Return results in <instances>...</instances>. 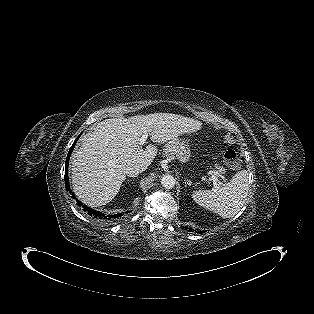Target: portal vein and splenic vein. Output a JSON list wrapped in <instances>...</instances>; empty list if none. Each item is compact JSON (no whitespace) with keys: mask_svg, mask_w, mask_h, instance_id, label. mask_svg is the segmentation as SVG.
I'll return each mask as SVG.
<instances>
[{"mask_svg":"<svg viewBox=\"0 0 314 314\" xmlns=\"http://www.w3.org/2000/svg\"><path fill=\"white\" fill-rule=\"evenodd\" d=\"M147 137H148L147 133L143 134L140 141H139V144L144 145L146 143ZM210 174L212 175L213 185H214V187H216L217 186V176H221V175H219L218 172H216V171H210Z\"/></svg>","mask_w":314,"mask_h":314,"instance_id":"obj_1","label":"portal vein and splenic vein"}]
</instances>
